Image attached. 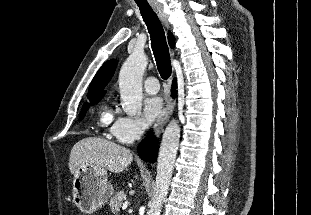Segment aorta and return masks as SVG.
<instances>
[{
    "mask_svg": "<svg viewBox=\"0 0 311 215\" xmlns=\"http://www.w3.org/2000/svg\"><path fill=\"white\" fill-rule=\"evenodd\" d=\"M147 64L148 59L144 53L133 52L121 67L119 89L122 108L128 116H134L141 111L142 77ZM179 139L180 126L176 120H171L163 133L157 161L154 194L147 215H160L172 178Z\"/></svg>",
    "mask_w": 311,
    "mask_h": 215,
    "instance_id": "1",
    "label": "aorta"
}]
</instances>
